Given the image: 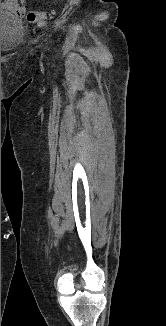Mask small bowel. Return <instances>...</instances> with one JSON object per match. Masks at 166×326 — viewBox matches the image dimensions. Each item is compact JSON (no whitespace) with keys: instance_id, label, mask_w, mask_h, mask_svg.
<instances>
[{"instance_id":"obj_1","label":"small bowel","mask_w":166,"mask_h":326,"mask_svg":"<svg viewBox=\"0 0 166 326\" xmlns=\"http://www.w3.org/2000/svg\"><path fill=\"white\" fill-rule=\"evenodd\" d=\"M1 9L9 11L18 17L24 16L26 12L25 6L20 4L18 0H1Z\"/></svg>"}]
</instances>
